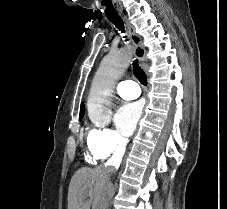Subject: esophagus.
<instances>
[{"instance_id": "34e87169", "label": "esophagus", "mask_w": 227, "mask_h": 209, "mask_svg": "<svg viewBox=\"0 0 227 209\" xmlns=\"http://www.w3.org/2000/svg\"><path fill=\"white\" fill-rule=\"evenodd\" d=\"M122 17L125 19L127 16L124 14ZM126 23L133 43L134 55L140 62H144L146 60V50L142 46L141 37L140 35H138L134 27L131 24H129L127 20Z\"/></svg>"}]
</instances>
